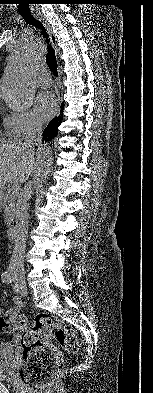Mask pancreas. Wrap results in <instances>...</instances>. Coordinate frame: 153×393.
<instances>
[{
	"mask_svg": "<svg viewBox=\"0 0 153 393\" xmlns=\"http://www.w3.org/2000/svg\"><path fill=\"white\" fill-rule=\"evenodd\" d=\"M16 199L17 192H13L11 188H8L0 200L4 208V222L7 227L11 226L14 221Z\"/></svg>",
	"mask_w": 153,
	"mask_h": 393,
	"instance_id": "cf45deb5",
	"label": "pancreas"
}]
</instances>
